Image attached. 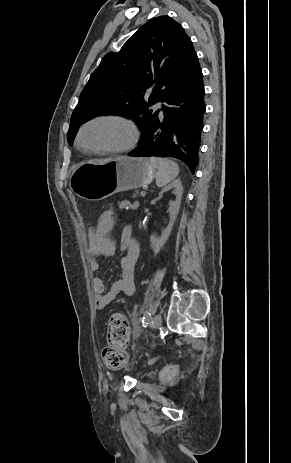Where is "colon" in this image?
Returning <instances> with one entry per match:
<instances>
[{
	"label": "colon",
	"instance_id": "obj_1",
	"mask_svg": "<svg viewBox=\"0 0 291 463\" xmlns=\"http://www.w3.org/2000/svg\"><path fill=\"white\" fill-rule=\"evenodd\" d=\"M114 229V213L104 207L98 213V232L106 233ZM129 338V327L126 319L119 313H114L108 323V343L103 348L102 359L109 369H120L127 361L124 350Z\"/></svg>",
	"mask_w": 291,
	"mask_h": 463
}]
</instances>
